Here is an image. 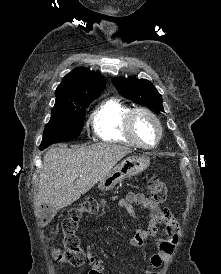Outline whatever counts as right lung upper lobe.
<instances>
[{
  "label": "right lung upper lobe",
  "mask_w": 221,
  "mask_h": 274,
  "mask_svg": "<svg viewBox=\"0 0 221 274\" xmlns=\"http://www.w3.org/2000/svg\"><path fill=\"white\" fill-rule=\"evenodd\" d=\"M104 77L84 67L68 73L55 91L56 102L74 100L88 95L101 94L105 87Z\"/></svg>",
  "instance_id": "1"
}]
</instances>
